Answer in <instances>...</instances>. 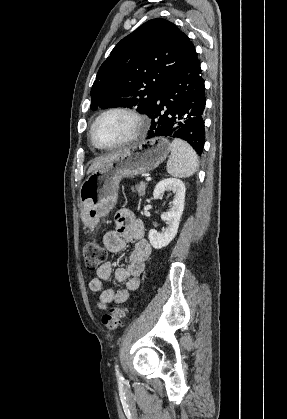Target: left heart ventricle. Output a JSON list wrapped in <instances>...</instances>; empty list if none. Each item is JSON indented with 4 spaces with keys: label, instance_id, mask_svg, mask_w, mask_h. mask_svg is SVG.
Returning <instances> with one entry per match:
<instances>
[{
    "label": "left heart ventricle",
    "instance_id": "1",
    "mask_svg": "<svg viewBox=\"0 0 287 419\" xmlns=\"http://www.w3.org/2000/svg\"><path fill=\"white\" fill-rule=\"evenodd\" d=\"M136 129L134 120L123 113L104 116L96 125L95 138L102 144H115L130 137Z\"/></svg>",
    "mask_w": 287,
    "mask_h": 419
}]
</instances>
